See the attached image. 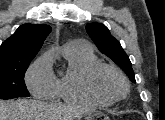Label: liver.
<instances>
[{"label": "liver", "mask_w": 165, "mask_h": 120, "mask_svg": "<svg viewBox=\"0 0 165 120\" xmlns=\"http://www.w3.org/2000/svg\"><path fill=\"white\" fill-rule=\"evenodd\" d=\"M89 108H58L38 100H0V120H54L63 115L68 120L89 112Z\"/></svg>", "instance_id": "obj_1"}]
</instances>
